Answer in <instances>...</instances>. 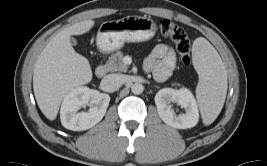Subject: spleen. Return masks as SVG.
I'll return each instance as SVG.
<instances>
[{
	"label": "spleen",
	"instance_id": "spleen-1",
	"mask_svg": "<svg viewBox=\"0 0 267 166\" xmlns=\"http://www.w3.org/2000/svg\"><path fill=\"white\" fill-rule=\"evenodd\" d=\"M192 61L199 75L196 98L202 120L210 125L220 114L226 99V70L217 51L202 37L193 43Z\"/></svg>",
	"mask_w": 267,
	"mask_h": 166
}]
</instances>
